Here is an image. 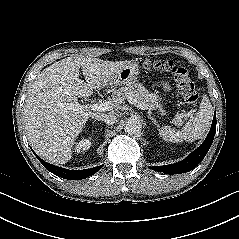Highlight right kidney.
<instances>
[{
  "label": "right kidney",
  "mask_w": 239,
  "mask_h": 239,
  "mask_svg": "<svg viewBox=\"0 0 239 239\" xmlns=\"http://www.w3.org/2000/svg\"><path fill=\"white\" fill-rule=\"evenodd\" d=\"M91 146L90 139H82L78 143H76L75 152L80 153L87 151Z\"/></svg>",
  "instance_id": "1"
}]
</instances>
